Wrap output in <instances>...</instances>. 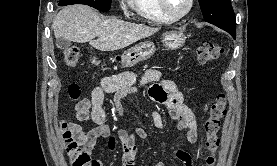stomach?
<instances>
[{"label":"stomach","instance_id":"obj_1","mask_svg":"<svg viewBox=\"0 0 277 166\" xmlns=\"http://www.w3.org/2000/svg\"><path fill=\"white\" fill-rule=\"evenodd\" d=\"M186 37L182 32L170 31L163 35L162 43L168 49H178L185 43ZM152 42H142L128 49L121 55L114 56L113 60L123 66L133 67L141 61L149 59L155 53Z\"/></svg>","mask_w":277,"mask_h":166}]
</instances>
